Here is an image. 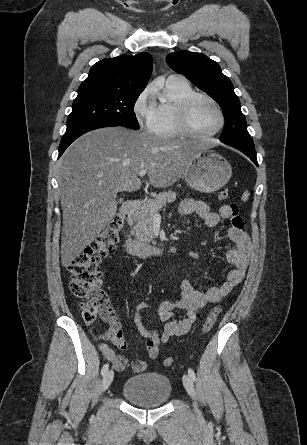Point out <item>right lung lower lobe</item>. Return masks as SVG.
I'll return each mask as SVG.
<instances>
[{"mask_svg": "<svg viewBox=\"0 0 307 445\" xmlns=\"http://www.w3.org/2000/svg\"><path fill=\"white\" fill-rule=\"evenodd\" d=\"M117 126L113 124H106V123H91V124H84L80 125L74 128L67 129L65 134L63 135L59 147V157L63 154V152L66 150V148L79 136L83 135L86 132H89L94 129L102 128V127H112Z\"/></svg>", "mask_w": 307, "mask_h": 445, "instance_id": "obj_1", "label": "right lung lower lobe"}]
</instances>
